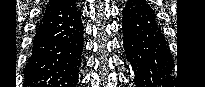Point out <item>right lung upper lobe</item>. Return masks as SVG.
<instances>
[{
    "instance_id": "obj_1",
    "label": "right lung upper lobe",
    "mask_w": 205,
    "mask_h": 87,
    "mask_svg": "<svg viewBox=\"0 0 205 87\" xmlns=\"http://www.w3.org/2000/svg\"><path fill=\"white\" fill-rule=\"evenodd\" d=\"M61 1H62V0H53V1H50V2L48 3L47 7L52 6V5H55V4H57V3L61 2Z\"/></svg>"
}]
</instances>
